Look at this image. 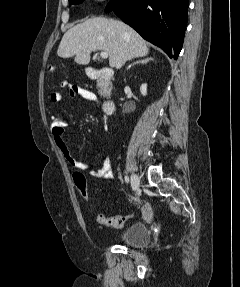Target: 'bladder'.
<instances>
[{"mask_svg": "<svg viewBox=\"0 0 240 287\" xmlns=\"http://www.w3.org/2000/svg\"><path fill=\"white\" fill-rule=\"evenodd\" d=\"M118 241L122 244L141 247L149 244L150 233L148 228L141 223L128 226L119 236Z\"/></svg>", "mask_w": 240, "mask_h": 287, "instance_id": "31cf9c89", "label": "bladder"}]
</instances>
